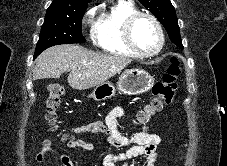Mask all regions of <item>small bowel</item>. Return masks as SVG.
I'll return each instance as SVG.
<instances>
[{"label": "small bowel", "instance_id": "obj_1", "mask_svg": "<svg viewBox=\"0 0 227 166\" xmlns=\"http://www.w3.org/2000/svg\"><path fill=\"white\" fill-rule=\"evenodd\" d=\"M124 114L121 106L111 109L104 123L95 122L88 125L77 126L72 129L75 134H105L106 141L115 148L128 147L125 151L105 154L103 166H156L158 161L157 148L161 143L159 135L150 131L147 124L141 131L133 134H124L117 126V119ZM71 148H83L89 152H96L93 144L82 139L70 143ZM53 154H59L54 147L53 140L46 138L42 142L41 149L35 156L37 163H43ZM59 166H76V162L67 155L60 154Z\"/></svg>", "mask_w": 227, "mask_h": 166}]
</instances>
